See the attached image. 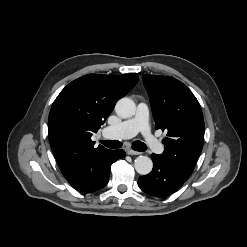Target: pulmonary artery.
Segmentation results:
<instances>
[{"label": "pulmonary artery", "instance_id": "pulmonary-artery-1", "mask_svg": "<svg viewBox=\"0 0 247 247\" xmlns=\"http://www.w3.org/2000/svg\"><path fill=\"white\" fill-rule=\"evenodd\" d=\"M141 132L148 147L155 153H162L163 145L151 134L149 126V109L146 103L137 105L135 115L119 124L104 129V134L115 139H125Z\"/></svg>", "mask_w": 247, "mask_h": 247}]
</instances>
